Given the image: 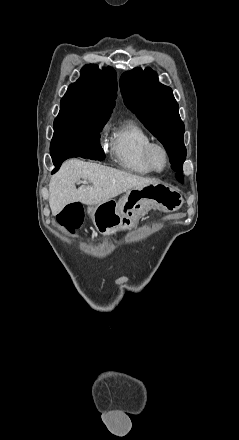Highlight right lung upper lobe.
<instances>
[{
  "label": "right lung upper lobe",
  "instance_id": "obj_1",
  "mask_svg": "<svg viewBox=\"0 0 239 440\" xmlns=\"http://www.w3.org/2000/svg\"><path fill=\"white\" fill-rule=\"evenodd\" d=\"M117 75L112 67L101 70L94 64L85 65L81 76L72 83L60 102V110L76 115L110 117L115 106Z\"/></svg>",
  "mask_w": 239,
  "mask_h": 440
}]
</instances>
